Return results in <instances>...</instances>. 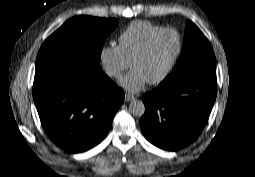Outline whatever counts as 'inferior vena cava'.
I'll return each mask as SVG.
<instances>
[{"label": "inferior vena cava", "mask_w": 255, "mask_h": 177, "mask_svg": "<svg viewBox=\"0 0 255 177\" xmlns=\"http://www.w3.org/2000/svg\"><path fill=\"white\" fill-rule=\"evenodd\" d=\"M107 74H108L109 76H116V75L118 74V72L115 71V70H109V71H107Z\"/></svg>", "instance_id": "1"}]
</instances>
